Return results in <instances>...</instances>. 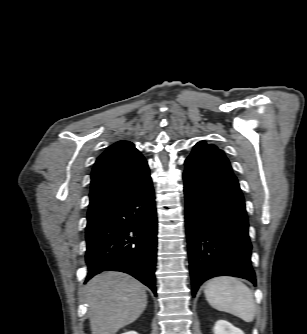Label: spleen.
Masks as SVG:
<instances>
[{
	"instance_id": "1",
	"label": "spleen",
	"mask_w": 307,
	"mask_h": 334,
	"mask_svg": "<svg viewBox=\"0 0 307 334\" xmlns=\"http://www.w3.org/2000/svg\"><path fill=\"white\" fill-rule=\"evenodd\" d=\"M208 303L219 311L231 313L246 322L255 318L256 305L251 290L234 277H215L204 289Z\"/></svg>"
}]
</instances>
